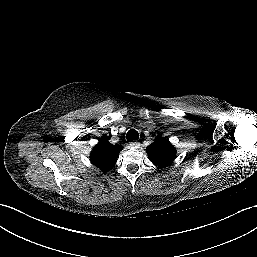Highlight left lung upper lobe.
<instances>
[{
	"label": "left lung upper lobe",
	"mask_w": 257,
	"mask_h": 257,
	"mask_svg": "<svg viewBox=\"0 0 257 257\" xmlns=\"http://www.w3.org/2000/svg\"><path fill=\"white\" fill-rule=\"evenodd\" d=\"M146 150L150 161L161 167L170 165L176 155L175 147L163 137L156 138Z\"/></svg>",
	"instance_id": "left-lung-upper-lobe-1"
}]
</instances>
